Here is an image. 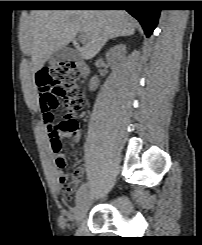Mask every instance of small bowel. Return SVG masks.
I'll return each instance as SVG.
<instances>
[{
  "label": "small bowel",
  "mask_w": 202,
  "mask_h": 245,
  "mask_svg": "<svg viewBox=\"0 0 202 245\" xmlns=\"http://www.w3.org/2000/svg\"><path fill=\"white\" fill-rule=\"evenodd\" d=\"M37 98L39 99V96L37 94ZM52 102L54 105V109L57 107V100L54 97V95L51 96ZM48 129H55L58 131V133L64 135L65 137L72 139L74 142L78 141L80 136H81V131L78 126H76L73 130L71 131H66L64 130L61 126L59 125H52V127H47ZM49 142L51 145L52 153H53V167H52V172L55 175L57 182L60 186H65L68 182L69 179V174L65 171L66 165H67V160L62 154L61 149L55 150L53 148L51 139L49 138ZM85 174V166H80L78 167L74 173L72 174L71 181L68 183V185L65 187V195H71L74 191V189L78 186V184L81 182V179L83 178Z\"/></svg>",
  "instance_id": "obj_1"
}]
</instances>
